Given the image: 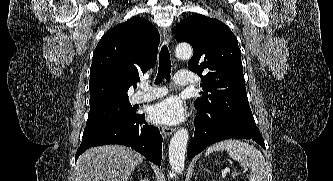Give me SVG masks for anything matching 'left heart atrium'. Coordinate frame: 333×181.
<instances>
[{"label": "left heart atrium", "instance_id": "left-heart-atrium-1", "mask_svg": "<svg viewBox=\"0 0 333 181\" xmlns=\"http://www.w3.org/2000/svg\"><path fill=\"white\" fill-rule=\"evenodd\" d=\"M150 120L156 124L176 125L186 118V109L177 97H168L151 107Z\"/></svg>", "mask_w": 333, "mask_h": 181}]
</instances>
